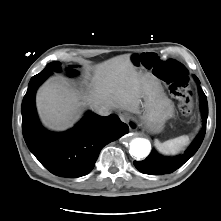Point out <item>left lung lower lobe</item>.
<instances>
[{
	"label": "left lung lower lobe",
	"mask_w": 221,
	"mask_h": 221,
	"mask_svg": "<svg viewBox=\"0 0 221 221\" xmlns=\"http://www.w3.org/2000/svg\"><path fill=\"white\" fill-rule=\"evenodd\" d=\"M194 78L199 84L200 82L198 78L196 76H194ZM199 92L204 124L202 127V131L198 134L191 146L186 150L183 155L177 157H162L153 150L145 160L134 161L135 167L140 172L150 175H162L172 173L179 167H181L198 150L205 136L206 121L208 117V104L206 95L201 89Z\"/></svg>",
	"instance_id": "1"
}]
</instances>
